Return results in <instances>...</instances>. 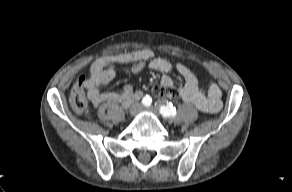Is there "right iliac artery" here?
<instances>
[{
  "instance_id": "82829eb1",
  "label": "right iliac artery",
  "mask_w": 292,
  "mask_h": 192,
  "mask_svg": "<svg viewBox=\"0 0 292 192\" xmlns=\"http://www.w3.org/2000/svg\"><path fill=\"white\" fill-rule=\"evenodd\" d=\"M142 104L146 107L150 106L152 104V98L149 95H146L142 99Z\"/></svg>"
}]
</instances>
